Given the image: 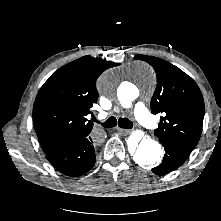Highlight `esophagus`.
Instances as JSON below:
<instances>
[{"label":"esophagus","mask_w":221,"mask_h":221,"mask_svg":"<svg viewBox=\"0 0 221 221\" xmlns=\"http://www.w3.org/2000/svg\"><path fill=\"white\" fill-rule=\"evenodd\" d=\"M117 130L124 133V134L130 133V130H127V129L117 128Z\"/></svg>","instance_id":"34e87169"}]
</instances>
